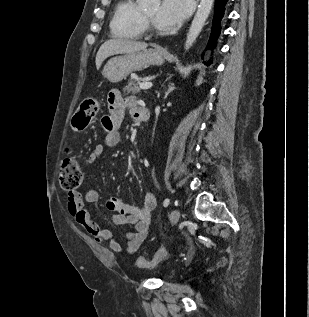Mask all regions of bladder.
Here are the masks:
<instances>
[{
    "mask_svg": "<svg viewBox=\"0 0 309 317\" xmlns=\"http://www.w3.org/2000/svg\"><path fill=\"white\" fill-rule=\"evenodd\" d=\"M173 275H174V272L171 273V276H173Z\"/></svg>",
    "mask_w": 309,
    "mask_h": 317,
    "instance_id": "1",
    "label": "bladder"
}]
</instances>
